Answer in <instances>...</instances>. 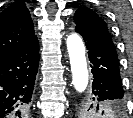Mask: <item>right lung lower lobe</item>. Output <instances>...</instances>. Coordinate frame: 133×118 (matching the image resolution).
Returning a JSON list of instances; mask_svg holds the SVG:
<instances>
[{"mask_svg":"<svg viewBox=\"0 0 133 118\" xmlns=\"http://www.w3.org/2000/svg\"><path fill=\"white\" fill-rule=\"evenodd\" d=\"M39 64V44H29L0 58V118H23L31 101Z\"/></svg>","mask_w":133,"mask_h":118,"instance_id":"98d812e1","label":"right lung lower lobe"}]
</instances>
